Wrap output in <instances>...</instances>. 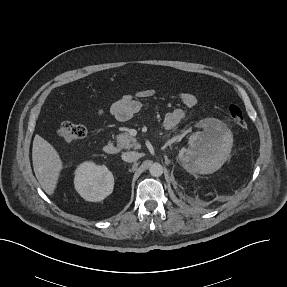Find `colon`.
<instances>
[{
    "label": "colon",
    "mask_w": 287,
    "mask_h": 287,
    "mask_svg": "<svg viewBox=\"0 0 287 287\" xmlns=\"http://www.w3.org/2000/svg\"><path fill=\"white\" fill-rule=\"evenodd\" d=\"M228 114L232 122L240 127L246 126V120L241 107L237 104H230L228 107ZM57 134L66 143L72 144L83 139L87 134V126L82 123H73L70 121L62 123L58 129Z\"/></svg>",
    "instance_id": "obj_1"
}]
</instances>
